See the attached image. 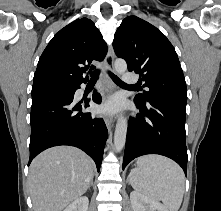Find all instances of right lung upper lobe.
I'll return each instance as SVG.
<instances>
[{
  "mask_svg": "<svg viewBox=\"0 0 221 211\" xmlns=\"http://www.w3.org/2000/svg\"><path fill=\"white\" fill-rule=\"evenodd\" d=\"M107 45L95 24L77 19L61 29L42 53L34 74L32 91L68 88L86 83L92 60L102 61Z\"/></svg>",
  "mask_w": 221,
  "mask_h": 211,
  "instance_id": "right-lung-upper-lobe-1",
  "label": "right lung upper lobe"
}]
</instances>
